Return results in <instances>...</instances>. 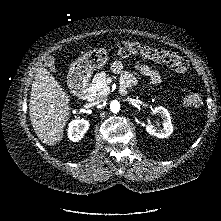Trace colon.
Instances as JSON below:
<instances>
[{
    "mask_svg": "<svg viewBox=\"0 0 221 221\" xmlns=\"http://www.w3.org/2000/svg\"><path fill=\"white\" fill-rule=\"evenodd\" d=\"M116 52L122 58L140 54L153 62L165 64L180 74L185 73L189 67L187 58L176 52L163 48L142 46L137 42L122 41L117 45ZM183 103L187 107L198 108L202 104V97L196 89H192L184 96Z\"/></svg>",
    "mask_w": 221,
    "mask_h": 221,
    "instance_id": "5ec220e1",
    "label": "colon"
}]
</instances>
